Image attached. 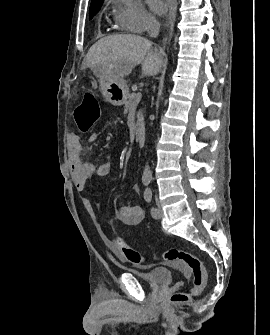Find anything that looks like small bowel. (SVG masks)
<instances>
[{
	"mask_svg": "<svg viewBox=\"0 0 270 335\" xmlns=\"http://www.w3.org/2000/svg\"><path fill=\"white\" fill-rule=\"evenodd\" d=\"M97 138L98 134L93 135L90 138V142H95ZM68 163L72 179L78 191L85 189L87 182L93 175L105 177L111 172V165L108 162L94 164L84 160L81 142L74 133L69 135ZM135 190L138 191L139 188L136 186ZM83 205L87 211H93L92 204L88 199H83ZM117 217L121 223L132 227L140 224L144 220L145 214L141 206L129 205L121 207L117 212Z\"/></svg>",
	"mask_w": 270,
	"mask_h": 335,
	"instance_id": "1",
	"label": "small bowel"
}]
</instances>
